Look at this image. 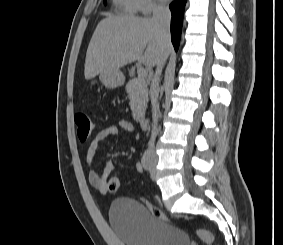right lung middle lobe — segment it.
Instances as JSON below:
<instances>
[{"label":"right lung middle lobe","mask_w":283,"mask_h":245,"mask_svg":"<svg viewBox=\"0 0 283 245\" xmlns=\"http://www.w3.org/2000/svg\"><path fill=\"white\" fill-rule=\"evenodd\" d=\"M104 4H106V0H104Z\"/></svg>","instance_id":"right-lung-middle-lobe-1"}]
</instances>
